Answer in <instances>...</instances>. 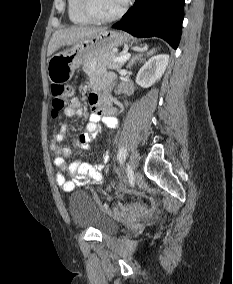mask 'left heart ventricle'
Instances as JSON below:
<instances>
[{
    "label": "left heart ventricle",
    "instance_id": "1",
    "mask_svg": "<svg viewBox=\"0 0 233 284\" xmlns=\"http://www.w3.org/2000/svg\"><path fill=\"white\" fill-rule=\"evenodd\" d=\"M122 0H93V6L97 13L110 16L116 13L123 5Z\"/></svg>",
    "mask_w": 233,
    "mask_h": 284
}]
</instances>
